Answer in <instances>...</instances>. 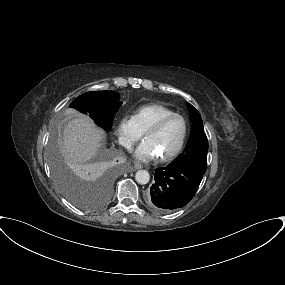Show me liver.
<instances>
[{
	"mask_svg": "<svg viewBox=\"0 0 285 285\" xmlns=\"http://www.w3.org/2000/svg\"><path fill=\"white\" fill-rule=\"evenodd\" d=\"M104 137L105 132L88 116L76 114L67 122L63 129L62 153L76 174H83L84 164L98 153Z\"/></svg>",
	"mask_w": 285,
	"mask_h": 285,
	"instance_id": "obj_1",
	"label": "liver"
}]
</instances>
